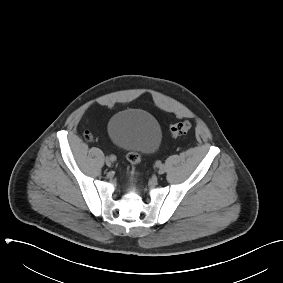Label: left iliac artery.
<instances>
[{"label": "left iliac artery", "instance_id": "1", "mask_svg": "<svg viewBox=\"0 0 283 283\" xmlns=\"http://www.w3.org/2000/svg\"><path fill=\"white\" fill-rule=\"evenodd\" d=\"M161 165H163V164L161 163V161H157V162H156V166H157V167H159V166H161Z\"/></svg>", "mask_w": 283, "mask_h": 283}]
</instances>
